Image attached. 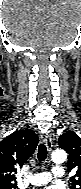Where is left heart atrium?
<instances>
[{
	"label": "left heart atrium",
	"mask_w": 81,
	"mask_h": 189,
	"mask_svg": "<svg viewBox=\"0 0 81 189\" xmlns=\"http://www.w3.org/2000/svg\"><path fill=\"white\" fill-rule=\"evenodd\" d=\"M46 189H60V188L57 186H50V187H47Z\"/></svg>",
	"instance_id": "left-heart-atrium-1"
}]
</instances>
